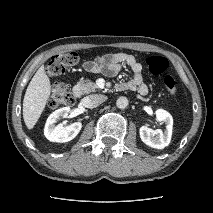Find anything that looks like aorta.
Returning a JSON list of instances; mask_svg holds the SVG:
<instances>
[{"instance_id": "762f6f07", "label": "aorta", "mask_w": 213, "mask_h": 213, "mask_svg": "<svg viewBox=\"0 0 213 213\" xmlns=\"http://www.w3.org/2000/svg\"><path fill=\"white\" fill-rule=\"evenodd\" d=\"M129 101L126 97H119L116 101V106L120 109H124L128 106Z\"/></svg>"}]
</instances>
